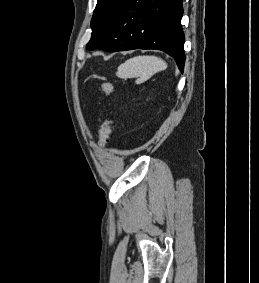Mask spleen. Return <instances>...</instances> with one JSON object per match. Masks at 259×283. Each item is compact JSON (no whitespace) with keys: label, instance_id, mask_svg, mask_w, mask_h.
<instances>
[{"label":"spleen","instance_id":"1","mask_svg":"<svg viewBox=\"0 0 259 283\" xmlns=\"http://www.w3.org/2000/svg\"><path fill=\"white\" fill-rule=\"evenodd\" d=\"M166 68L167 64L161 58L143 55L128 59L121 64L117 75L121 78L139 77V81L143 82Z\"/></svg>","mask_w":259,"mask_h":283}]
</instances>
